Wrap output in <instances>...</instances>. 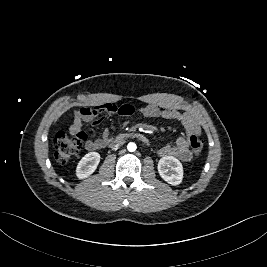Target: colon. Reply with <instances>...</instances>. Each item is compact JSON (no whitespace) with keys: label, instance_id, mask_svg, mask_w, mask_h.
Masks as SVG:
<instances>
[{"label":"colon","instance_id":"obj_1","mask_svg":"<svg viewBox=\"0 0 267 267\" xmlns=\"http://www.w3.org/2000/svg\"><path fill=\"white\" fill-rule=\"evenodd\" d=\"M87 135L84 132L68 135L65 131H59L54 137L55 159L61 164L69 162L75 158L82 150L83 143ZM191 150L195 155H200L203 151L204 142L198 136L189 137Z\"/></svg>","mask_w":267,"mask_h":267}]
</instances>
